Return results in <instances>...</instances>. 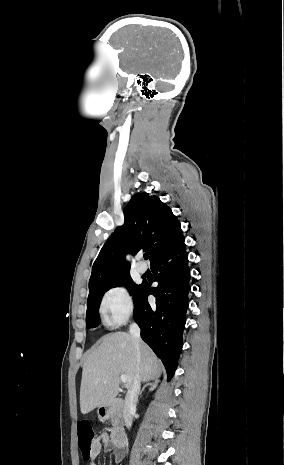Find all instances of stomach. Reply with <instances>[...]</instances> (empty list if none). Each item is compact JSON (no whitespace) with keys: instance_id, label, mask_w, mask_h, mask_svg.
Returning a JSON list of instances; mask_svg holds the SVG:
<instances>
[{"instance_id":"1","label":"stomach","mask_w":284,"mask_h":465,"mask_svg":"<svg viewBox=\"0 0 284 465\" xmlns=\"http://www.w3.org/2000/svg\"><path fill=\"white\" fill-rule=\"evenodd\" d=\"M100 421H105L104 417H99Z\"/></svg>"}]
</instances>
